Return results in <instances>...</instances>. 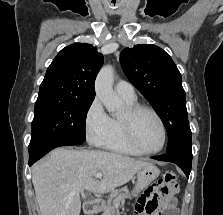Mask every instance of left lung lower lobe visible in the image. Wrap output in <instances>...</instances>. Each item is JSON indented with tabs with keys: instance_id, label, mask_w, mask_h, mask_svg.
Instances as JSON below:
<instances>
[{
	"instance_id": "obj_1",
	"label": "left lung lower lobe",
	"mask_w": 223,
	"mask_h": 215,
	"mask_svg": "<svg viewBox=\"0 0 223 215\" xmlns=\"http://www.w3.org/2000/svg\"><path fill=\"white\" fill-rule=\"evenodd\" d=\"M153 159L160 160V161H166V162H172L177 164L183 172L186 174L187 177H189V174L191 172V164H192V155H181V154H164L161 156H155L152 157Z\"/></svg>"
}]
</instances>
